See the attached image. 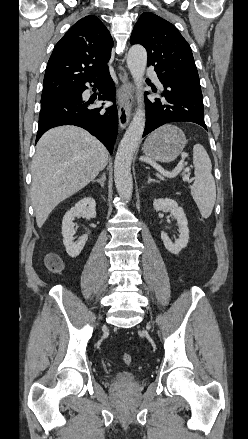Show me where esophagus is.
I'll list each match as a JSON object with an SVG mask.
<instances>
[{
	"mask_svg": "<svg viewBox=\"0 0 248 439\" xmlns=\"http://www.w3.org/2000/svg\"><path fill=\"white\" fill-rule=\"evenodd\" d=\"M121 85L118 90L119 106L118 117L119 125L125 129L130 121L133 106V86L126 76H120Z\"/></svg>",
	"mask_w": 248,
	"mask_h": 439,
	"instance_id": "esophagus-1",
	"label": "esophagus"
}]
</instances>
